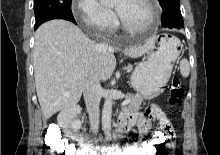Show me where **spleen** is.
<instances>
[{
	"label": "spleen",
	"mask_w": 220,
	"mask_h": 155,
	"mask_svg": "<svg viewBox=\"0 0 220 155\" xmlns=\"http://www.w3.org/2000/svg\"><path fill=\"white\" fill-rule=\"evenodd\" d=\"M180 73L184 78L189 76L190 65L188 60L185 58L180 61Z\"/></svg>",
	"instance_id": "obj_1"
}]
</instances>
